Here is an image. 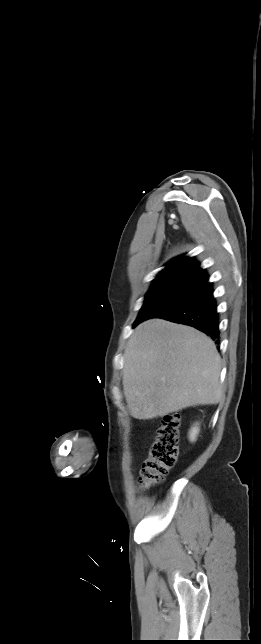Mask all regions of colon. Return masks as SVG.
<instances>
[{"mask_svg":"<svg viewBox=\"0 0 261 644\" xmlns=\"http://www.w3.org/2000/svg\"><path fill=\"white\" fill-rule=\"evenodd\" d=\"M180 415H166L160 422L155 441L143 462L139 484L150 488L162 482L175 465L179 451Z\"/></svg>","mask_w":261,"mask_h":644,"instance_id":"obj_1","label":"colon"}]
</instances>
